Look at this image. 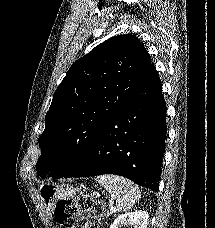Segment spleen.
Returning <instances> with one entry per match:
<instances>
[{
    "instance_id": "3e777b00",
    "label": "spleen",
    "mask_w": 215,
    "mask_h": 228,
    "mask_svg": "<svg viewBox=\"0 0 215 228\" xmlns=\"http://www.w3.org/2000/svg\"><path fill=\"white\" fill-rule=\"evenodd\" d=\"M96 182L104 186L109 194L116 198V210L118 212H126L135 206L136 202L140 200V190L136 184L122 178V176H113V174H104V176H97Z\"/></svg>"
}]
</instances>
